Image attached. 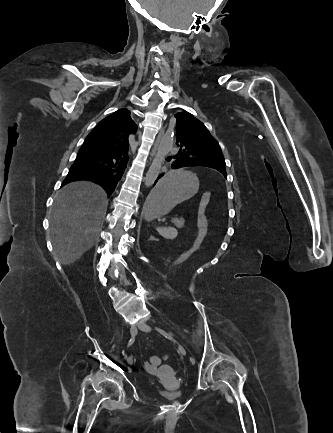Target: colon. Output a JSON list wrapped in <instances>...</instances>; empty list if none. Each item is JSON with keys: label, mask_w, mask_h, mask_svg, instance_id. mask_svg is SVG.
<instances>
[{"label": "colon", "mask_w": 333, "mask_h": 433, "mask_svg": "<svg viewBox=\"0 0 333 433\" xmlns=\"http://www.w3.org/2000/svg\"><path fill=\"white\" fill-rule=\"evenodd\" d=\"M210 199V194L209 193H205L201 200H200V208H199V216H198V225H199V232L198 235L196 237V241L195 244H193L191 247L188 248V251H184L182 253V258H179V261L174 262V265H177L179 267L183 266V264L185 262H187V258H192V254L195 253V249L199 248V244L202 242L205 233H206V226H207V220L205 217V206L207 205L208 201ZM184 262V263H183ZM171 269H174V266H171ZM163 357L158 356V355H152L149 357L148 360V367L150 368H154L157 369V364L158 362H162L163 361Z\"/></svg>", "instance_id": "obj_1"}]
</instances>
